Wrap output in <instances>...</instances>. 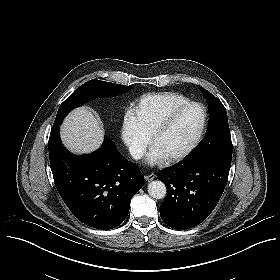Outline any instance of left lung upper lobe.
Here are the masks:
<instances>
[{
  "label": "left lung upper lobe",
  "mask_w": 280,
  "mask_h": 280,
  "mask_svg": "<svg viewBox=\"0 0 280 280\" xmlns=\"http://www.w3.org/2000/svg\"><path fill=\"white\" fill-rule=\"evenodd\" d=\"M208 103L210 112L208 129L189 162L212 159L232 160L233 145L227 119V112L221 101L209 91L198 86Z\"/></svg>",
  "instance_id": "5c2ea615"
}]
</instances>
